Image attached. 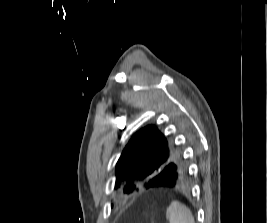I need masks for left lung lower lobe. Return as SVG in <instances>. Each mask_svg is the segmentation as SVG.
I'll return each mask as SVG.
<instances>
[{
    "mask_svg": "<svg viewBox=\"0 0 267 223\" xmlns=\"http://www.w3.org/2000/svg\"><path fill=\"white\" fill-rule=\"evenodd\" d=\"M193 171H164L153 173V180L141 182L139 190H146V195H175V190L191 189L187 182Z\"/></svg>",
    "mask_w": 267,
    "mask_h": 223,
    "instance_id": "1",
    "label": "left lung lower lobe"
}]
</instances>
